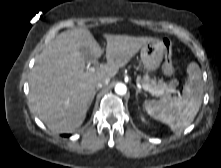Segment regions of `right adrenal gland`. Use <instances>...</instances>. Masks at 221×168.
I'll list each match as a JSON object with an SVG mask.
<instances>
[{
  "label": "right adrenal gland",
  "instance_id": "2a0ac1e0",
  "mask_svg": "<svg viewBox=\"0 0 221 168\" xmlns=\"http://www.w3.org/2000/svg\"><path fill=\"white\" fill-rule=\"evenodd\" d=\"M99 91V89L97 88L95 91H94V93H93V95L91 96V98H90V100H89V107L91 106V104H92V102H93V100H94V97H95V95H96V93Z\"/></svg>",
  "mask_w": 221,
  "mask_h": 168
}]
</instances>
